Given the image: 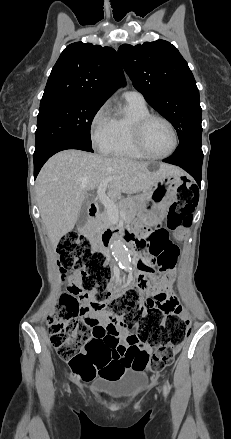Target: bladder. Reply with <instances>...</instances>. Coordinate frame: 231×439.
Segmentation results:
<instances>
[{"label":"bladder","mask_w":231,"mask_h":439,"mask_svg":"<svg viewBox=\"0 0 231 439\" xmlns=\"http://www.w3.org/2000/svg\"><path fill=\"white\" fill-rule=\"evenodd\" d=\"M146 381L147 377L140 369L132 368L122 381L104 385L100 389L102 393L113 399L131 398L143 390Z\"/></svg>","instance_id":"obj_1"}]
</instances>
